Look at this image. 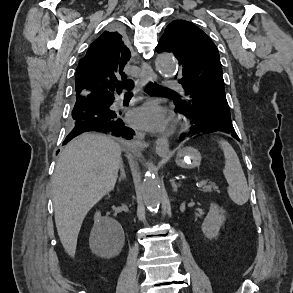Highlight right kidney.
<instances>
[{
    "mask_svg": "<svg viewBox=\"0 0 293 293\" xmlns=\"http://www.w3.org/2000/svg\"><path fill=\"white\" fill-rule=\"evenodd\" d=\"M108 222H113L115 224L117 232L107 224ZM94 223L95 228L103 235L101 240L102 246L118 254L124 244V233L119 224L110 218L103 219L100 212L95 213Z\"/></svg>",
    "mask_w": 293,
    "mask_h": 293,
    "instance_id": "ca27d5eb",
    "label": "right kidney"
}]
</instances>
